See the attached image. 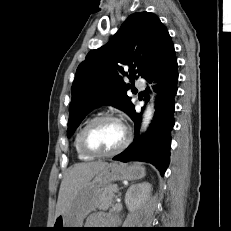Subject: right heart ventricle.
I'll return each mask as SVG.
<instances>
[{"instance_id": "e07e8e85", "label": "right heart ventricle", "mask_w": 231, "mask_h": 231, "mask_svg": "<svg viewBox=\"0 0 231 231\" xmlns=\"http://www.w3.org/2000/svg\"><path fill=\"white\" fill-rule=\"evenodd\" d=\"M93 118H88L87 120H85L81 126L78 128V130L76 131V134L74 136V141H73V145H74V149L76 152L77 157L82 160V161H89L91 160L93 157L84 153L80 147V135L81 132L83 130V128L92 120Z\"/></svg>"}]
</instances>
